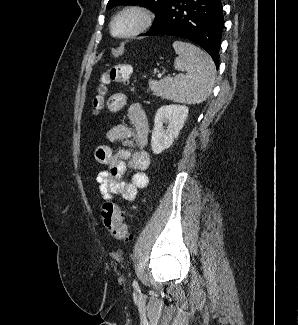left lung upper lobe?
<instances>
[{
	"mask_svg": "<svg viewBox=\"0 0 298 325\" xmlns=\"http://www.w3.org/2000/svg\"><path fill=\"white\" fill-rule=\"evenodd\" d=\"M170 0H109L107 8L114 7L120 4H145L156 12V16L160 14L163 8Z\"/></svg>",
	"mask_w": 298,
	"mask_h": 325,
	"instance_id": "5c2ea615",
	"label": "left lung upper lobe"
}]
</instances>
